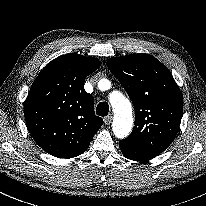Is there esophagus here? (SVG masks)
<instances>
[{
	"mask_svg": "<svg viewBox=\"0 0 206 206\" xmlns=\"http://www.w3.org/2000/svg\"><path fill=\"white\" fill-rule=\"evenodd\" d=\"M111 122H112V116H106V117L104 118V123H105L106 125H110Z\"/></svg>",
	"mask_w": 206,
	"mask_h": 206,
	"instance_id": "34e87169",
	"label": "esophagus"
}]
</instances>
